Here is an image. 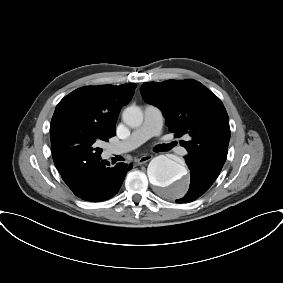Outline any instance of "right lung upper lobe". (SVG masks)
Here are the masks:
<instances>
[{
  "label": "right lung upper lobe",
  "mask_w": 283,
  "mask_h": 283,
  "mask_svg": "<svg viewBox=\"0 0 283 283\" xmlns=\"http://www.w3.org/2000/svg\"><path fill=\"white\" fill-rule=\"evenodd\" d=\"M135 88V83L85 86L58 103L50 125V136L53 161L59 171L71 164L68 129L90 127L113 137L119 112L131 100Z\"/></svg>",
  "instance_id": "cb5924a9"
}]
</instances>
